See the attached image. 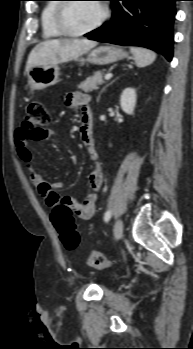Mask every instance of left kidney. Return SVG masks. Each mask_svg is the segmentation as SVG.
Listing matches in <instances>:
<instances>
[{"instance_id": "obj_1", "label": "left kidney", "mask_w": 193, "mask_h": 349, "mask_svg": "<svg viewBox=\"0 0 193 349\" xmlns=\"http://www.w3.org/2000/svg\"><path fill=\"white\" fill-rule=\"evenodd\" d=\"M121 109L128 115H132L136 105V90L126 88L123 90L120 97Z\"/></svg>"}]
</instances>
